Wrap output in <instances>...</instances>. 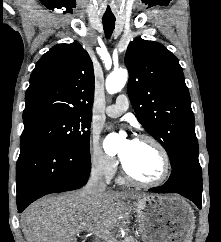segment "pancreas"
Listing matches in <instances>:
<instances>
[{
    "label": "pancreas",
    "mask_w": 221,
    "mask_h": 242,
    "mask_svg": "<svg viewBox=\"0 0 221 242\" xmlns=\"http://www.w3.org/2000/svg\"><path fill=\"white\" fill-rule=\"evenodd\" d=\"M123 242H138L134 237H127Z\"/></svg>",
    "instance_id": "cf45deb5"
}]
</instances>
